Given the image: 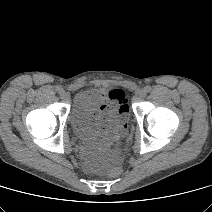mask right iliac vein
I'll use <instances>...</instances> for the list:
<instances>
[{"label":"right iliac vein","mask_w":212,"mask_h":212,"mask_svg":"<svg viewBox=\"0 0 212 212\" xmlns=\"http://www.w3.org/2000/svg\"><path fill=\"white\" fill-rule=\"evenodd\" d=\"M59 95H60V97L62 99H66L67 98V93L63 89L60 90Z\"/></svg>","instance_id":"right-iliac-vein-1"}]
</instances>
